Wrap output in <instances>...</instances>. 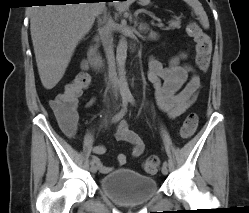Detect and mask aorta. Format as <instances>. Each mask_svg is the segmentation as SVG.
Listing matches in <instances>:
<instances>
[{"label": "aorta", "mask_w": 249, "mask_h": 213, "mask_svg": "<svg viewBox=\"0 0 249 213\" xmlns=\"http://www.w3.org/2000/svg\"><path fill=\"white\" fill-rule=\"evenodd\" d=\"M127 58V40L125 37H121L119 40L116 51V62L118 68V84L122 97H130L131 93L126 81L125 62Z\"/></svg>", "instance_id": "aorta-1"}]
</instances>
